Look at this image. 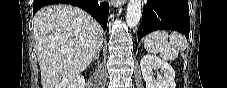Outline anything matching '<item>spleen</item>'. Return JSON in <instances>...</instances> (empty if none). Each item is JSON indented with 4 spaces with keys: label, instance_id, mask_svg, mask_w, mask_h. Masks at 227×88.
Masks as SVG:
<instances>
[{
    "label": "spleen",
    "instance_id": "spleen-1",
    "mask_svg": "<svg viewBox=\"0 0 227 88\" xmlns=\"http://www.w3.org/2000/svg\"><path fill=\"white\" fill-rule=\"evenodd\" d=\"M186 46V38L177 32L168 35L166 31H154L144 38L145 49L151 54H159L164 60L176 59Z\"/></svg>",
    "mask_w": 227,
    "mask_h": 88
}]
</instances>
